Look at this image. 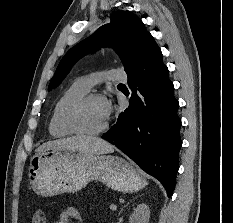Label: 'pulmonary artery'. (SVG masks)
<instances>
[{
	"label": "pulmonary artery",
	"instance_id": "e3ab8cb5",
	"mask_svg": "<svg viewBox=\"0 0 233 223\" xmlns=\"http://www.w3.org/2000/svg\"><path fill=\"white\" fill-rule=\"evenodd\" d=\"M126 74V70L97 71L80 77L78 81L87 91H89L93 86L104 80L126 79Z\"/></svg>",
	"mask_w": 233,
	"mask_h": 223
}]
</instances>
